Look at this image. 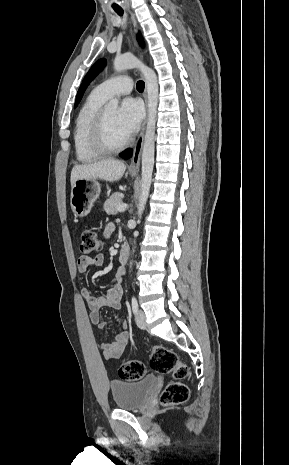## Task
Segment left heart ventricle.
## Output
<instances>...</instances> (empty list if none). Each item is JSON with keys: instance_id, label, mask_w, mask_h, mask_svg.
Instances as JSON below:
<instances>
[{"instance_id": "b2bd125f", "label": "left heart ventricle", "mask_w": 289, "mask_h": 465, "mask_svg": "<svg viewBox=\"0 0 289 465\" xmlns=\"http://www.w3.org/2000/svg\"><path fill=\"white\" fill-rule=\"evenodd\" d=\"M118 109L115 107L107 108V132L108 137L112 143H120L127 137L122 133L119 128L117 120Z\"/></svg>"}]
</instances>
